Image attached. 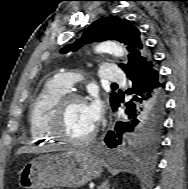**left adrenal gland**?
Wrapping results in <instances>:
<instances>
[{
  "instance_id": "obj_1",
  "label": "left adrenal gland",
  "mask_w": 188,
  "mask_h": 189,
  "mask_svg": "<svg viewBox=\"0 0 188 189\" xmlns=\"http://www.w3.org/2000/svg\"><path fill=\"white\" fill-rule=\"evenodd\" d=\"M97 189H109L108 182H103L100 186L97 187Z\"/></svg>"
}]
</instances>
